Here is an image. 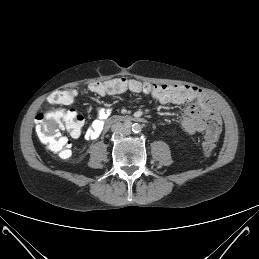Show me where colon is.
Wrapping results in <instances>:
<instances>
[{
    "mask_svg": "<svg viewBox=\"0 0 259 259\" xmlns=\"http://www.w3.org/2000/svg\"><path fill=\"white\" fill-rule=\"evenodd\" d=\"M89 89L97 94H121L133 92L150 95L162 103H179L195 101L200 96V91L195 86L177 84H155L142 82L125 77L112 78L105 81L93 82ZM76 96L73 90H56L48 98L49 102L59 106L71 104ZM83 118L74 110L60 109L39 113L35 118L36 132L39 139L47 149L60 158H68L71 154V141L63 136L59 129L65 128L72 137L76 138L81 133ZM220 128L212 123L204 134L203 148L206 153H211L218 140Z\"/></svg>",
    "mask_w": 259,
    "mask_h": 259,
    "instance_id": "obj_1",
    "label": "colon"
}]
</instances>
